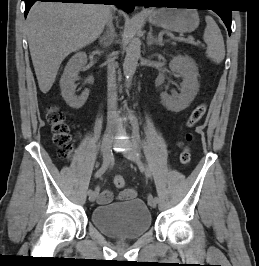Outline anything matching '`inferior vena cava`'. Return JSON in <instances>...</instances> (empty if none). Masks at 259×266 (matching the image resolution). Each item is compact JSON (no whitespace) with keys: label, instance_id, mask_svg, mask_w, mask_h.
I'll list each match as a JSON object with an SVG mask.
<instances>
[{"label":"inferior vena cava","instance_id":"1","mask_svg":"<svg viewBox=\"0 0 259 266\" xmlns=\"http://www.w3.org/2000/svg\"><path fill=\"white\" fill-rule=\"evenodd\" d=\"M107 25L109 30L111 29V35L114 34V29L112 25V17L109 16L107 20ZM107 82H108V114L111 120L115 118L116 115V105H117V94L115 92L116 85V75H115V64L114 59L110 58L108 60V71H107Z\"/></svg>","mask_w":259,"mask_h":266}]
</instances>
